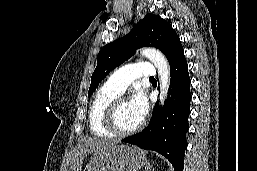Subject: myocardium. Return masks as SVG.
<instances>
[{"label": "myocardium", "instance_id": "myocardium-1", "mask_svg": "<svg viewBox=\"0 0 257 171\" xmlns=\"http://www.w3.org/2000/svg\"><path fill=\"white\" fill-rule=\"evenodd\" d=\"M125 101L126 100L124 98L118 97L113 101H111L106 108L104 125L106 129L115 136H128V135L134 134L138 132L144 125V121L141 120V122L138 125H136L131 129L123 130L118 126L117 120H116L117 109H118V106Z\"/></svg>", "mask_w": 257, "mask_h": 171}]
</instances>
